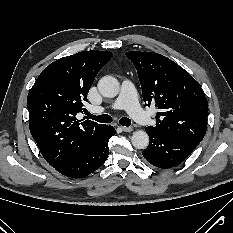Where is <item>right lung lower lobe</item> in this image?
Masks as SVG:
<instances>
[{
	"mask_svg": "<svg viewBox=\"0 0 233 233\" xmlns=\"http://www.w3.org/2000/svg\"><path fill=\"white\" fill-rule=\"evenodd\" d=\"M113 135H115V128L108 126L101 137L86 152L55 169L61 174L72 178L89 175L106 161L109 154L108 142Z\"/></svg>",
	"mask_w": 233,
	"mask_h": 233,
	"instance_id": "98d812e1",
	"label": "right lung lower lobe"
}]
</instances>
